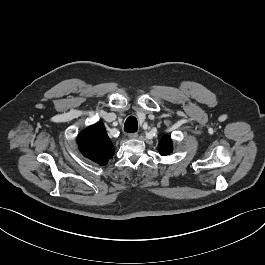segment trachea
Here are the masks:
<instances>
[{
	"label": "trachea",
	"mask_w": 265,
	"mask_h": 265,
	"mask_svg": "<svg viewBox=\"0 0 265 265\" xmlns=\"http://www.w3.org/2000/svg\"><path fill=\"white\" fill-rule=\"evenodd\" d=\"M138 129V122L137 119L133 116L127 118L124 124V130L128 133H134Z\"/></svg>",
	"instance_id": "1"
}]
</instances>
